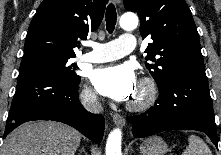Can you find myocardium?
Wrapping results in <instances>:
<instances>
[{
    "instance_id": "1",
    "label": "myocardium",
    "mask_w": 221,
    "mask_h": 155,
    "mask_svg": "<svg viewBox=\"0 0 221 155\" xmlns=\"http://www.w3.org/2000/svg\"><path fill=\"white\" fill-rule=\"evenodd\" d=\"M157 98V87L151 78H142L139 83V95L131 100L127 107L132 111H143L152 106Z\"/></svg>"
}]
</instances>
